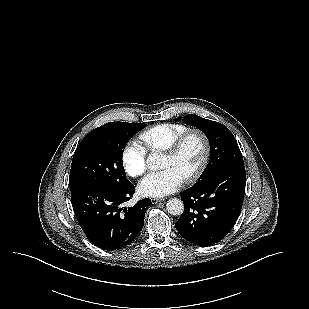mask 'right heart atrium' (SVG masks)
I'll return each mask as SVG.
<instances>
[{"label": "right heart atrium", "mask_w": 309, "mask_h": 309, "mask_svg": "<svg viewBox=\"0 0 309 309\" xmlns=\"http://www.w3.org/2000/svg\"><path fill=\"white\" fill-rule=\"evenodd\" d=\"M122 163L125 171L132 177L143 175L147 169V152L136 141H130L123 149Z\"/></svg>", "instance_id": "obj_1"}]
</instances>
